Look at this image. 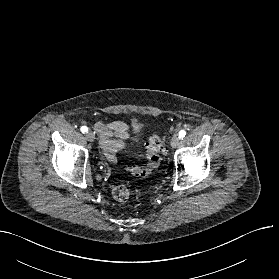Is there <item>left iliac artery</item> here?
Here are the masks:
<instances>
[{"mask_svg": "<svg viewBox=\"0 0 279 279\" xmlns=\"http://www.w3.org/2000/svg\"><path fill=\"white\" fill-rule=\"evenodd\" d=\"M185 135H186V131H184V130H181L180 132H179V138H183V137H185Z\"/></svg>", "mask_w": 279, "mask_h": 279, "instance_id": "44dca946", "label": "left iliac artery"}]
</instances>
